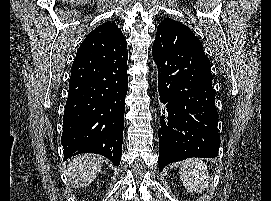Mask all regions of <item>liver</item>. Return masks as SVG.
<instances>
[{"instance_id":"1","label":"liver","mask_w":271,"mask_h":201,"mask_svg":"<svg viewBox=\"0 0 271 201\" xmlns=\"http://www.w3.org/2000/svg\"><path fill=\"white\" fill-rule=\"evenodd\" d=\"M103 158L94 154H82L72 158L67 166L68 180L73 188L91 184L100 172Z\"/></svg>"}]
</instances>
